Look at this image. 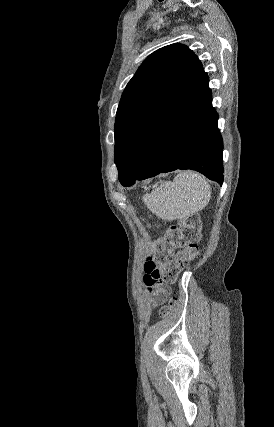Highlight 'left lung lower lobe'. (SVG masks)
Here are the masks:
<instances>
[{
    "mask_svg": "<svg viewBox=\"0 0 274 427\" xmlns=\"http://www.w3.org/2000/svg\"><path fill=\"white\" fill-rule=\"evenodd\" d=\"M202 69L156 120L143 140L123 186L177 169H192L223 182V141Z\"/></svg>",
    "mask_w": 274,
    "mask_h": 427,
    "instance_id": "left-lung-lower-lobe-1",
    "label": "left lung lower lobe"
}]
</instances>
